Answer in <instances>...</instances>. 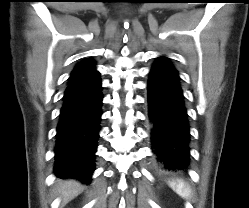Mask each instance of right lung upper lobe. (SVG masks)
<instances>
[{
    "mask_svg": "<svg viewBox=\"0 0 249 208\" xmlns=\"http://www.w3.org/2000/svg\"><path fill=\"white\" fill-rule=\"evenodd\" d=\"M96 72L97 71L95 69V62L92 59L81 61L79 64H77V66L72 71L71 76L69 77L68 83L87 77Z\"/></svg>",
    "mask_w": 249,
    "mask_h": 208,
    "instance_id": "right-lung-upper-lobe-1",
    "label": "right lung upper lobe"
}]
</instances>
